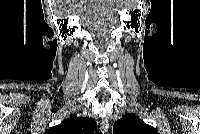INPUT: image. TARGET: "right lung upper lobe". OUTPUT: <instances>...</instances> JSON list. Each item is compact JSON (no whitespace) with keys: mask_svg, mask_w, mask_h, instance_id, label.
Here are the masks:
<instances>
[{"mask_svg":"<svg viewBox=\"0 0 200 134\" xmlns=\"http://www.w3.org/2000/svg\"><path fill=\"white\" fill-rule=\"evenodd\" d=\"M96 129V122L90 118H78L72 115L61 124L46 131V134H92Z\"/></svg>","mask_w":200,"mask_h":134,"instance_id":"1","label":"right lung upper lobe"}]
</instances>
